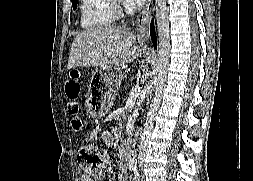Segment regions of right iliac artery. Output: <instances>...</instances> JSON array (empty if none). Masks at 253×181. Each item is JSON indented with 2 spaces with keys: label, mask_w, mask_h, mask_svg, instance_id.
Listing matches in <instances>:
<instances>
[{
  "label": "right iliac artery",
  "mask_w": 253,
  "mask_h": 181,
  "mask_svg": "<svg viewBox=\"0 0 253 181\" xmlns=\"http://www.w3.org/2000/svg\"><path fill=\"white\" fill-rule=\"evenodd\" d=\"M135 163H137V160L135 161ZM138 164L141 166L142 162H141V161H138Z\"/></svg>",
  "instance_id": "1"
}]
</instances>
